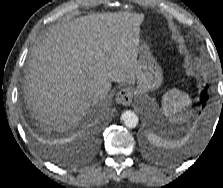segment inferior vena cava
<instances>
[{"mask_svg": "<svg viewBox=\"0 0 223 188\" xmlns=\"http://www.w3.org/2000/svg\"><path fill=\"white\" fill-rule=\"evenodd\" d=\"M108 95V87L106 85H98L93 87L88 92V98L93 103H98L104 100Z\"/></svg>", "mask_w": 223, "mask_h": 188, "instance_id": "inferior-vena-cava-1", "label": "inferior vena cava"}]
</instances>
